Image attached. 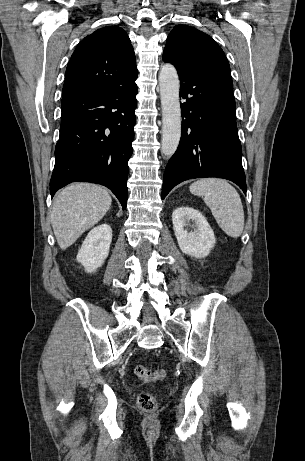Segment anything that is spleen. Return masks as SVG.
<instances>
[{
    "instance_id": "3e777b00",
    "label": "spleen",
    "mask_w": 305,
    "mask_h": 461,
    "mask_svg": "<svg viewBox=\"0 0 305 461\" xmlns=\"http://www.w3.org/2000/svg\"><path fill=\"white\" fill-rule=\"evenodd\" d=\"M190 192L201 196L219 227L230 237L238 238L244 229V211L236 189L218 178H203L190 185Z\"/></svg>"
}]
</instances>
